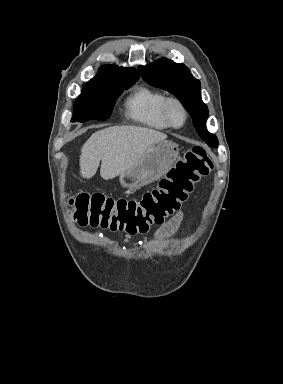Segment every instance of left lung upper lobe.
<instances>
[{
    "label": "left lung upper lobe",
    "instance_id": "left-lung-upper-lobe-1",
    "mask_svg": "<svg viewBox=\"0 0 283 384\" xmlns=\"http://www.w3.org/2000/svg\"><path fill=\"white\" fill-rule=\"evenodd\" d=\"M139 71L149 84L174 94L192 116L199 136L210 147L218 146L217 137L209 133L206 128L208 108L201 100L200 82L192 76L184 64L162 58L148 66H140Z\"/></svg>",
    "mask_w": 283,
    "mask_h": 384
}]
</instances>
